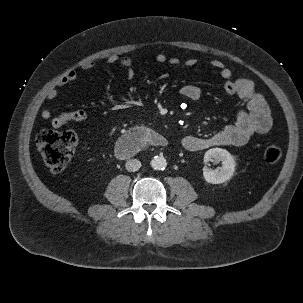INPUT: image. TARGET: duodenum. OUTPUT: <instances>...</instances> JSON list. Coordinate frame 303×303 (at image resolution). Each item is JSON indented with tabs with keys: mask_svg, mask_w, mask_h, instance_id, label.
<instances>
[{
	"mask_svg": "<svg viewBox=\"0 0 303 303\" xmlns=\"http://www.w3.org/2000/svg\"><path fill=\"white\" fill-rule=\"evenodd\" d=\"M168 140L157 131L138 127L123 135L116 143L115 153L120 158H130L146 146L165 148Z\"/></svg>",
	"mask_w": 303,
	"mask_h": 303,
	"instance_id": "410a0bca",
	"label": "duodenum"
}]
</instances>
